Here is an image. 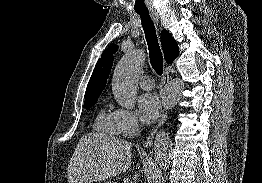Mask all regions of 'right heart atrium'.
Returning <instances> with one entry per match:
<instances>
[{
	"instance_id": "right-heart-atrium-1",
	"label": "right heart atrium",
	"mask_w": 262,
	"mask_h": 183,
	"mask_svg": "<svg viewBox=\"0 0 262 183\" xmlns=\"http://www.w3.org/2000/svg\"><path fill=\"white\" fill-rule=\"evenodd\" d=\"M113 113L123 135L133 136L138 133L140 123L134 112L126 109H116Z\"/></svg>"
}]
</instances>
